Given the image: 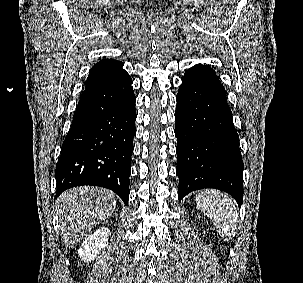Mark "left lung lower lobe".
Returning <instances> with one entry per match:
<instances>
[{
    "instance_id": "0a47b994",
    "label": "left lung lower lobe",
    "mask_w": 303,
    "mask_h": 283,
    "mask_svg": "<svg viewBox=\"0 0 303 283\" xmlns=\"http://www.w3.org/2000/svg\"><path fill=\"white\" fill-rule=\"evenodd\" d=\"M178 198L215 188L243 203V161L225 89L215 71L197 64L182 77L176 96Z\"/></svg>"
}]
</instances>
